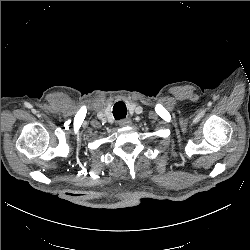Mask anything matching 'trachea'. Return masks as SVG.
<instances>
[{
    "mask_svg": "<svg viewBox=\"0 0 250 250\" xmlns=\"http://www.w3.org/2000/svg\"><path fill=\"white\" fill-rule=\"evenodd\" d=\"M127 114V108L126 105L119 101L115 103L113 107V116L115 117L116 120H120L126 117Z\"/></svg>",
    "mask_w": 250,
    "mask_h": 250,
    "instance_id": "obj_1",
    "label": "trachea"
}]
</instances>
